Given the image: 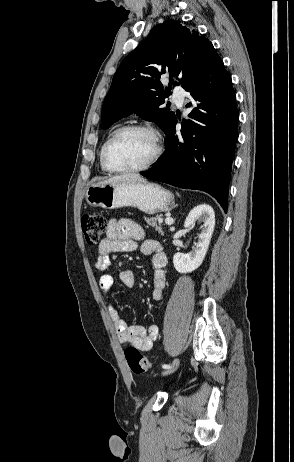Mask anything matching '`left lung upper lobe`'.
<instances>
[{
  "label": "left lung upper lobe",
  "mask_w": 294,
  "mask_h": 462,
  "mask_svg": "<svg viewBox=\"0 0 294 462\" xmlns=\"http://www.w3.org/2000/svg\"><path fill=\"white\" fill-rule=\"evenodd\" d=\"M218 58L211 42L198 32L175 20L157 25L117 69L104 100L101 127L109 128L135 112L155 122L166 133L175 114L159 106L169 96L173 79H178L184 88ZM162 74L170 78L165 90L159 81Z\"/></svg>",
  "instance_id": "obj_1"
}]
</instances>
